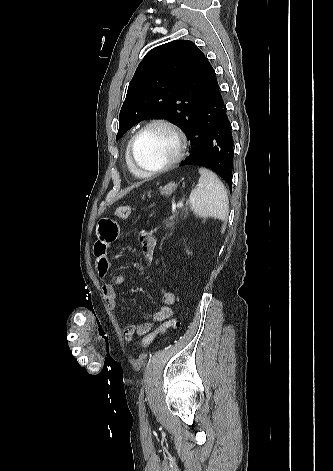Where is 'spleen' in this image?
Wrapping results in <instances>:
<instances>
[{
  "label": "spleen",
  "mask_w": 333,
  "mask_h": 471,
  "mask_svg": "<svg viewBox=\"0 0 333 471\" xmlns=\"http://www.w3.org/2000/svg\"><path fill=\"white\" fill-rule=\"evenodd\" d=\"M198 185L191 191L190 207L200 218L227 219L229 202L226 189L217 175L206 168L199 169Z\"/></svg>",
  "instance_id": "3e777b00"
}]
</instances>
